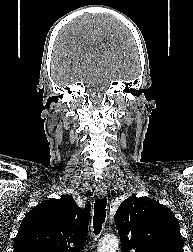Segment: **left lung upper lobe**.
Segmentation results:
<instances>
[{
	"mask_svg": "<svg viewBox=\"0 0 193 252\" xmlns=\"http://www.w3.org/2000/svg\"><path fill=\"white\" fill-rule=\"evenodd\" d=\"M115 221L122 252H184L178 220L154 199L127 198L119 206Z\"/></svg>",
	"mask_w": 193,
	"mask_h": 252,
	"instance_id": "left-lung-upper-lobe-1",
	"label": "left lung upper lobe"
}]
</instances>
